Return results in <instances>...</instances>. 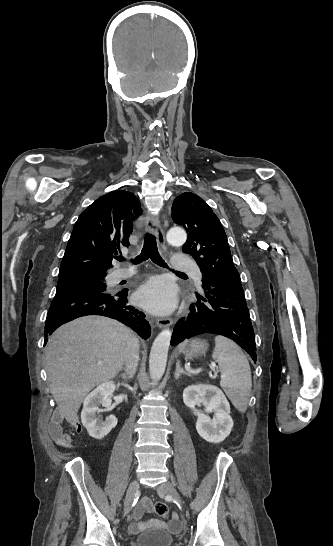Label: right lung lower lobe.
<instances>
[{"mask_svg": "<svg viewBox=\"0 0 333 546\" xmlns=\"http://www.w3.org/2000/svg\"><path fill=\"white\" fill-rule=\"evenodd\" d=\"M128 290L115 294L98 291L68 292L56 295L45 321V343L59 326L78 317L102 315L131 327L143 339L150 337V325L145 314L128 304Z\"/></svg>", "mask_w": 333, "mask_h": 546, "instance_id": "98d812e1", "label": "right lung lower lobe"}]
</instances>
